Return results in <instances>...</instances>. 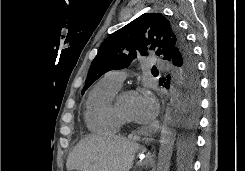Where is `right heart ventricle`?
<instances>
[{
    "instance_id": "obj_1",
    "label": "right heart ventricle",
    "mask_w": 245,
    "mask_h": 171,
    "mask_svg": "<svg viewBox=\"0 0 245 171\" xmlns=\"http://www.w3.org/2000/svg\"><path fill=\"white\" fill-rule=\"evenodd\" d=\"M119 89L105 78L93 86L85 103V122L90 132L100 135L119 132L121 122L113 110V101Z\"/></svg>"
}]
</instances>
